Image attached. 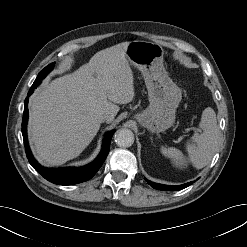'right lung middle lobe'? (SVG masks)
Wrapping results in <instances>:
<instances>
[{"label":"right lung middle lobe","instance_id":"1","mask_svg":"<svg viewBox=\"0 0 247 247\" xmlns=\"http://www.w3.org/2000/svg\"><path fill=\"white\" fill-rule=\"evenodd\" d=\"M54 63L49 64L46 66L37 76L36 80L34 83L39 84L40 81L53 69Z\"/></svg>","mask_w":247,"mask_h":247}]
</instances>
